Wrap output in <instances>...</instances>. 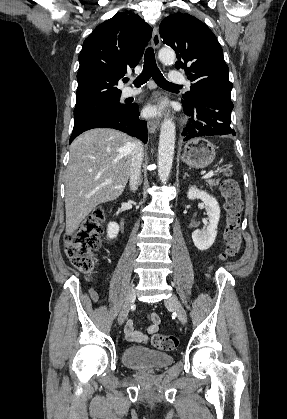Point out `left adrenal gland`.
Returning <instances> with one entry per match:
<instances>
[{
  "label": "left adrenal gland",
  "instance_id": "left-adrenal-gland-1",
  "mask_svg": "<svg viewBox=\"0 0 287 419\" xmlns=\"http://www.w3.org/2000/svg\"><path fill=\"white\" fill-rule=\"evenodd\" d=\"M189 175L187 173L184 174V178L188 177Z\"/></svg>",
  "mask_w": 287,
  "mask_h": 419
}]
</instances>
